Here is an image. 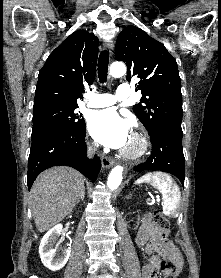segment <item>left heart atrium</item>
Instances as JSON below:
<instances>
[{
  "instance_id": "obj_1",
  "label": "left heart atrium",
  "mask_w": 221,
  "mask_h": 278,
  "mask_svg": "<svg viewBox=\"0 0 221 278\" xmlns=\"http://www.w3.org/2000/svg\"><path fill=\"white\" fill-rule=\"evenodd\" d=\"M88 129L99 143L111 148H124L130 141V125L114 109L93 112L88 118Z\"/></svg>"
}]
</instances>
